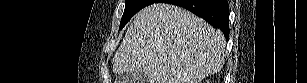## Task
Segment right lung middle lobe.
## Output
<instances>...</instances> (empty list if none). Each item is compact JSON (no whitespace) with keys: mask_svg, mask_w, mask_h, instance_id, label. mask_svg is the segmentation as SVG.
<instances>
[{"mask_svg":"<svg viewBox=\"0 0 307 83\" xmlns=\"http://www.w3.org/2000/svg\"><path fill=\"white\" fill-rule=\"evenodd\" d=\"M154 0H126L125 10L121 19L120 29L142 8L151 5Z\"/></svg>","mask_w":307,"mask_h":83,"instance_id":"dd1d6c3e","label":"right lung middle lobe"}]
</instances>
